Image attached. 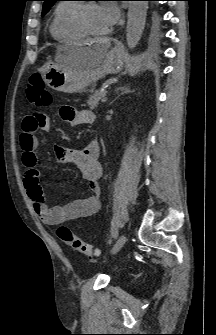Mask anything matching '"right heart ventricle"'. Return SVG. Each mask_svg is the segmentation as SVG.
Wrapping results in <instances>:
<instances>
[{
    "instance_id": "e07e8e85",
    "label": "right heart ventricle",
    "mask_w": 216,
    "mask_h": 335,
    "mask_svg": "<svg viewBox=\"0 0 216 335\" xmlns=\"http://www.w3.org/2000/svg\"><path fill=\"white\" fill-rule=\"evenodd\" d=\"M79 5L68 1L57 5L50 24V33L55 40L69 42L85 37L74 21L75 12Z\"/></svg>"
}]
</instances>
